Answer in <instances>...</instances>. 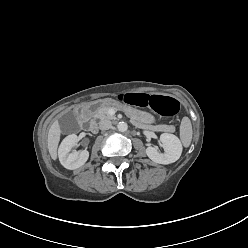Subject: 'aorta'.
<instances>
[{"label":"aorta","mask_w":248,"mask_h":248,"mask_svg":"<svg viewBox=\"0 0 248 248\" xmlns=\"http://www.w3.org/2000/svg\"><path fill=\"white\" fill-rule=\"evenodd\" d=\"M117 128H118L119 131L125 132L128 129V125H127L126 122H119L118 125H117Z\"/></svg>","instance_id":"obj_1"}]
</instances>
